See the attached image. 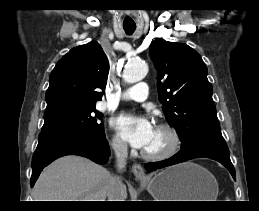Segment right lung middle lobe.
<instances>
[{
    "instance_id": "1",
    "label": "right lung middle lobe",
    "mask_w": 259,
    "mask_h": 211,
    "mask_svg": "<svg viewBox=\"0 0 259 211\" xmlns=\"http://www.w3.org/2000/svg\"><path fill=\"white\" fill-rule=\"evenodd\" d=\"M103 114L98 112L95 107H91L85 111L76 113L66 118L44 123L42 132L48 131H80L88 133H100L104 131L101 122Z\"/></svg>"
}]
</instances>
